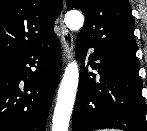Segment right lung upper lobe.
Segmentation results:
<instances>
[{
    "mask_svg": "<svg viewBox=\"0 0 147 131\" xmlns=\"http://www.w3.org/2000/svg\"><path fill=\"white\" fill-rule=\"evenodd\" d=\"M62 0H0V61L56 36Z\"/></svg>",
    "mask_w": 147,
    "mask_h": 131,
    "instance_id": "cb5924a9",
    "label": "right lung upper lobe"
}]
</instances>
